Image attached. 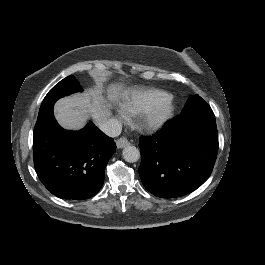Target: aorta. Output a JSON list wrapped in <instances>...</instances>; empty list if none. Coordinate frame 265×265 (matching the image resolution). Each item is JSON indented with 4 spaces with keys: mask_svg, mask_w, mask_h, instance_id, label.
Listing matches in <instances>:
<instances>
[{
    "mask_svg": "<svg viewBox=\"0 0 265 265\" xmlns=\"http://www.w3.org/2000/svg\"><path fill=\"white\" fill-rule=\"evenodd\" d=\"M122 156L127 162H136L140 157V153L135 146L129 144L128 146L124 147Z\"/></svg>",
    "mask_w": 265,
    "mask_h": 265,
    "instance_id": "obj_1",
    "label": "aorta"
}]
</instances>
